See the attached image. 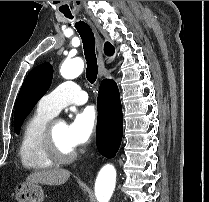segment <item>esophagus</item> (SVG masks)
<instances>
[{
	"mask_svg": "<svg viewBox=\"0 0 209 202\" xmlns=\"http://www.w3.org/2000/svg\"><path fill=\"white\" fill-rule=\"evenodd\" d=\"M94 34H95V39H96V46L98 50V63H99V71H100V76H103L106 74V67H105V60L103 56V41L101 37L99 36L98 32L96 31L95 27L92 25Z\"/></svg>",
	"mask_w": 209,
	"mask_h": 202,
	"instance_id": "obj_1",
	"label": "esophagus"
}]
</instances>
